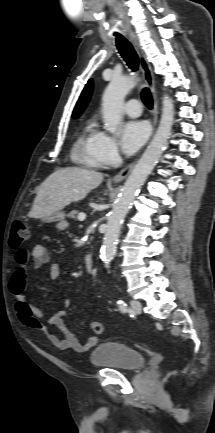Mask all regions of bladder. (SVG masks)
Instances as JSON below:
<instances>
[{"mask_svg": "<svg viewBox=\"0 0 215 433\" xmlns=\"http://www.w3.org/2000/svg\"><path fill=\"white\" fill-rule=\"evenodd\" d=\"M93 366L135 371L145 364V357L138 350L117 342H105L98 345L90 354Z\"/></svg>", "mask_w": 215, "mask_h": 433, "instance_id": "31cf9c89", "label": "bladder"}]
</instances>
